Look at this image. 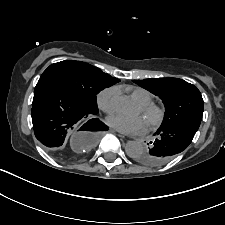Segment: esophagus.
<instances>
[{
  "instance_id": "obj_1",
  "label": "esophagus",
  "mask_w": 225,
  "mask_h": 225,
  "mask_svg": "<svg viewBox=\"0 0 225 225\" xmlns=\"http://www.w3.org/2000/svg\"><path fill=\"white\" fill-rule=\"evenodd\" d=\"M113 132H115V133H118V135L120 136V137H125L122 133H120L119 131H117V130H113Z\"/></svg>"
}]
</instances>
